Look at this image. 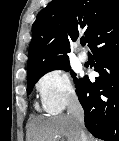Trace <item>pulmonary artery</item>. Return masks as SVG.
<instances>
[{
	"instance_id": "obj_1",
	"label": "pulmonary artery",
	"mask_w": 119,
	"mask_h": 141,
	"mask_svg": "<svg viewBox=\"0 0 119 141\" xmlns=\"http://www.w3.org/2000/svg\"><path fill=\"white\" fill-rule=\"evenodd\" d=\"M78 59L81 61V62H87L88 61V55L85 51L81 50L79 53H78Z\"/></svg>"
}]
</instances>
